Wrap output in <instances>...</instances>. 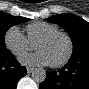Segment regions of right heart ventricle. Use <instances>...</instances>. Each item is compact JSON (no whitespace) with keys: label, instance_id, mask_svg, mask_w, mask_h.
<instances>
[{"label":"right heart ventricle","instance_id":"1","mask_svg":"<svg viewBox=\"0 0 89 89\" xmlns=\"http://www.w3.org/2000/svg\"><path fill=\"white\" fill-rule=\"evenodd\" d=\"M58 30L57 25L48 22H34L26 27L27 38L33 45L44 35Z\"/></svg>","mask_w":89,"mask_h":89}]
</instances>
